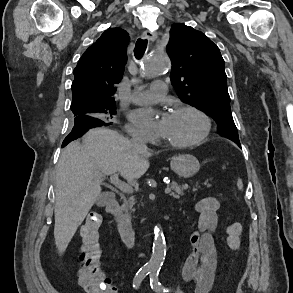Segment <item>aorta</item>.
<instances>
[{"label":"aorta","instance_id":"obj_1","mask_svg":"<svg viewBox=\"0 0 293 293\" xmlns=\"http://www.w3.org/2000/svg\"><path fill=\"white\" fill-rule=\"evenodd\" d=\"M170 61L166 53L152 51L143 62L141 75L144 78H154L162 75L169 68ZM166 243L163 231L160 226H155L152 255L147 263L150 271H158L165 259Z\"/></svg>","mask_w":293,"mask_h":293}]
</instances>
